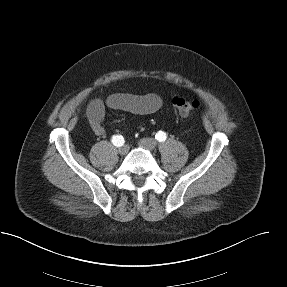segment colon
Instances as JSON below:
<instances>
[{"mask_svg":"<svg viewBox=\"0 0 287 287\" xmlns=\"http://www.w3.org/2000/svg\"><path fill=\"white\" fill-rule=\"evenodd\" d=\"M172 106L178 115L189 117L197 110L199 103L189 98L175 96L172 98Z\"/></svg>","mask_w":287,"mask_h":287,"instance_id":"1","label":"colon"}]
</instances>
